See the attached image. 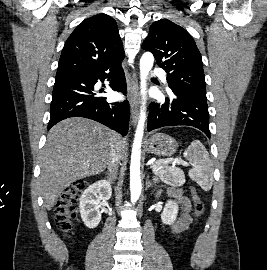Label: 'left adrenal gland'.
Segmentation results:
<instances>
[{
  "label": "left adrenal gland",
  "instance_id": "obj_1",
  "mask_svg": "<svg viewBox=\"0 0 267 270\" xmlns=\"http://www.w3.org/2000/svg\"><path fill=\"white\" fill-rule=\"evenodd\" d=\"M153 185V183L149 180V176H147V180H146V187H151Z\"/></svg>",
  "mask_w": 267,
  "mask_h": 270
}]
</instances>
